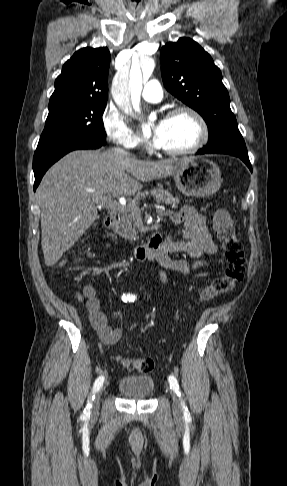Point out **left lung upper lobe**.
I'll return each mask as SVG.
<instances>
[{
    "mask_svg": "<svg viewBox=\"0 0 287 486\" xmlns=\"http://www.w3.org/2000/svg\"><path fill=\"white\" fill-rule=\"evenodd\" d=\"M161 74L166 89L205 120L209 140L201 151L248 156L220 69L194 40L180 38L161 49Z\"/></svg>",
    "mask_w": 287,
    "mask_h": 486,
    "instance_id": "5c2ea615",
    "label": "left lung upper lobe"
}]
</instances>
